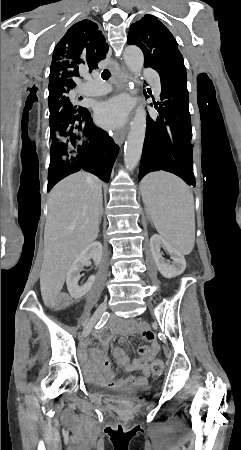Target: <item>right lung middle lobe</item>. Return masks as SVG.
Returning <instances> with one entry per match:
<instances>
[{"instance_id": "right-lung-middle-lobe-1", "label": "right lung middle lobe", "mask_w": 241, "mask_h": 450, "mask_svg": "<svg viewBox=\"0 0 241 450\" xmlns=\"http://www.w3.org/2000/svg\"><path fill=\"white\" fill-rule=\"evenodd\" d=\"M48 103L50 111V136L52 140L51 153L71 152L74 149V144L59 126L65 121L80 120L89 111L79 106L75 99L70 96L49 100Z\"/></svg>"}]
</instances>
